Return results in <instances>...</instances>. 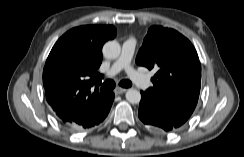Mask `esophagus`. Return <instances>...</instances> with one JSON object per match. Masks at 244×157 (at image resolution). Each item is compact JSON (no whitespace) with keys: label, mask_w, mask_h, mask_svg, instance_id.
I'll list each match as a JSON object with an SVG mask.
<instances>
[{"label":"esophagus","mask_w":244,"mask_h":157,"mask_svg":"<svg viewBox=\"0 0 244 157\" xmlns=\"http://www.w3.org/2000/svg\"><path fill=\"white\" fill-rule=\"evenodd\" d=\"M127 91V89L126 88H122V87H117L116 89H115V93L116 94H122V93H124V92H126Z\"/></svg>","instance_id":"34e87169"}]
</instances>
